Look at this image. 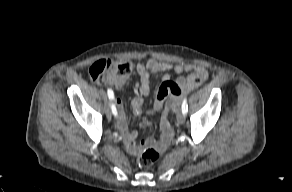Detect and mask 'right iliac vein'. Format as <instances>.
<instances>
[{
    "mask_svg": "<svg viewBox=\"0 0 292 192\" xmlns=\"http://www.w3.org/2000/svg\"><path fill=\"white\" fill-rule=\"evenodd\" d=\"M105 113L107 116H111V105L108 104L105 108Z\"/></svg>",
    "mask_w": 292,
    "mask_h": 192,
    "instance_id": "63e3f726",
    "label": "right iliac vein"
}]
</instances>
